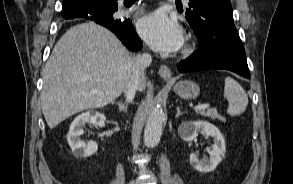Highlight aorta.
Listing matches in <instances>:
<instances>
[{
    "mask_svg": "<svg viewBox=\"0 0 293 184\" xmlns=\"http://www.w3.org/2000/svg\"><path fill=\"white\" fill-rule=\"evenodd\" d=\"M164 121L162 107H154L149 114L144 130V144L146 147H154L160 141Z\"/></svg>",
    "mask_w": 293,
    "mask_h": 184,
    "instance_id": "1",
    "label": "aorta"
}]
</instances>
